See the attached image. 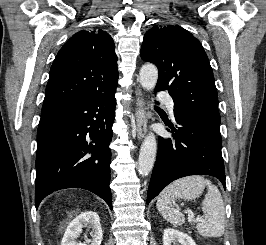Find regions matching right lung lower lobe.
Instances as JSON below:
<instances>
[{
    "mask_svg": "<svg viewBox=\"0 0 266 245\" xmlns=\"http://www.w3.org/2000/svg\"><path fill=\"white\" fill-rule=\"evenodd\" d=\"M114 91L72 101L41 117L37 133L35 205L54 191L87 189L112 209L109 144Z\"/></svg>",
    "mask_w": 266,
    "mask_h": 245,
    "instance_id": "1",
    "label": "right lung lower lobe"
}]
</instances>
